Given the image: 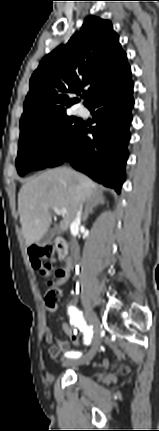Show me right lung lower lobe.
Segmentation results:
<instances>
[{"label":"right lung lower lobe","mask_w":159,"mask_h":431,"mask_svg":"<svg viewBox=\"0 0 159 431\" xmlns=\"http://www.w3.org/2000/svg\"><path fill=\"white\" fill-rule=\"evenodd\" d=\"M132 92L131 76L103 92L88 107L97 125L88 128L81 122L47 167L67 161L96 182L120 192L128 158L129 126L134 105ZM88 133L93 138H89Z\"/></svg>","instance_id":"98d812e1"}]
</instances>
